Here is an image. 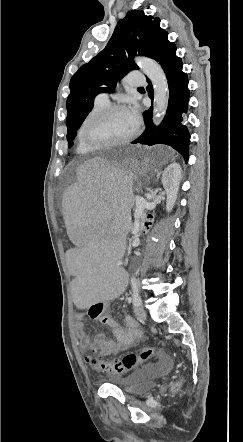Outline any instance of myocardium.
I'll return each instance as SVG.
<instances>
[{"label": "myocardium", "instance_id": "1", "mask_svg": "<svg viewBox=\"0 0 243 442\" xmlns=\"http://www.w3.org/2000/svg\"><path fill=\"white\" fill-rule=\"evenodd\" d=\"M120 110H127V109L125 106L120 105V104L107 105L103 109H101V110L97 111L96 113H94L93 115H91L84 122V124L82 126L81 138H82L83 142L88 147H90L94 150L95 149L112 148V147L122 146V145L129 143L137 135V132H138L137 126L134 128L133 132L131 134H129L127 137L120 139V140L112 141V142L97 143V142L92 141L87 135V131L92 123L112 114L113 112L120 111Z\"/></svg>", "mask_w": 243, "mask_h": 442}]
</instances>
